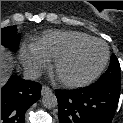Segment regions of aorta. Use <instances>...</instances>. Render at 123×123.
I'll return each mask as SVG.
<instances>
[{"label":"aorta","mask_w":123,"mask_h":123,"mask_svg":"<svg viewBox=\"0 0 123 123\" xmlns=\"http://www.w3.org/2000/svg\"><path fill=\"white\" fill-rule=\"evenodd\" d=\"M42 104L44 107L52 109L58 104L57 97L52 92H46L42 96Z\"/></svg>","instance_id":"762f6f07"}]
</instances>
